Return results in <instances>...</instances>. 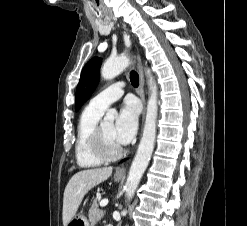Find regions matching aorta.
<instances>
[{
	"mask_svg": "<svg viewBox=\"0 0 247 226\" xmlns=\"http://www.w3.org/2000/svg\"><path fill=\"white\" fill-rule=\"evenodd\" d=\"M130 64V60L125 57H118L115 59H108L102 69L101 76L105 80H110L118 76L126 67ZM147 75L150 77L148 81L149 87V100L147 105L146 120L143 130V135L140 141V144L137 149V153L134 157V160L131 164L128 178L125 184V194L127 200H131L134 196V193L138 187V184L142 178L143 173L145 172L149 160L151 158L155 138H156V121L158 113L157 105V85L150 72L147 71ZM116 116L115 111H108L104 117L106 123L113 122Z\"/></svg>",
	"mask_w": 247,
	"mask_h": 226,
	"instance_id": "762f6f07",
	"label": "aorta"
}]
</instances>
